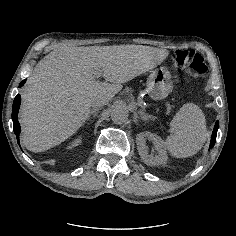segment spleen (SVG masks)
I'll return each mask as SVG.
<instances>
[{"label": "spleen", "instance_id": "spleen-1", "mask_svg": "<svg viewBox=\"0 0 236 236\" xmlns=\"http://www.w3.org/2000/svg\"><path fill=\"white\" fill-rule=\"evenodd\" d=\"M170 135L166 146L176 157H189L196 154L205 143L207 130L205 117L193 103L183 104L169 124Z\"/></svg>", "mask_w": 236, "mask_h": 236}]
</instances>
